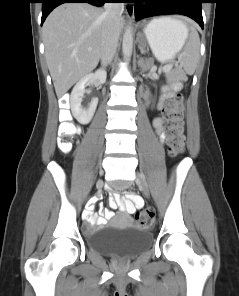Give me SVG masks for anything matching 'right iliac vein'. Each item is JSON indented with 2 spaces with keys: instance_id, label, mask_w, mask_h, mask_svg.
<instances>
[{
  "instance_id": "right-iliac-vein-1",
  "label": "right iliac vein",
  "mask_w": 239,
  "mask_h": 296,
  "mask_svg": "<svg viewBox=\"0 0 239 296\" xmlns=\"http://www.w3.org/2000/svg\"><path fill=\"white\" fill-rule=\"evenodd\" d=\"M97 188H101L103 186V182L99 180L96 184Z\"/></svg>"
}]
</instances>
